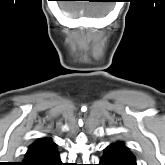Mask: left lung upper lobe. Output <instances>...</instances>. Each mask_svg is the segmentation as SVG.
<instances>
[{"label":"left lung upper lobe","instance_id":"obj_1","mask_svg":"<svg viewBox=\"0 0 165 165\" xmlns=\"http://www.w3.org/2000/svg\"><path fill=\"white\" fill-rule=\"evenodd\" d=\"M109 147L120 148L124 150L129 157L134 158L133 155L128 150H126V148L121 143L111 144Z\"/></svg>","mask_w":165,"mask_h":165}]
</instances>
